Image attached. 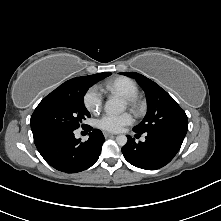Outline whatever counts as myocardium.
Listing matches in <instances>:
<instances>
[{
    "label": "myocardium",
    "instance_id": "1",
    "mask_svg": "<svg viewBox=\"0 0 221 221\" xmlns=\"http://www.w3.org/2000/svg\"><path fill=\"white\" fill-rule=\"evenodd\" d=\"M124 100L126 105L134 110H139L142 105L141 99L137 95L125 97Z\"/></svg>",
    "mask_w": 221,
    "mask_h": 221
}]
</instances>
